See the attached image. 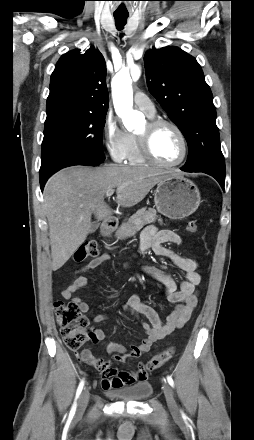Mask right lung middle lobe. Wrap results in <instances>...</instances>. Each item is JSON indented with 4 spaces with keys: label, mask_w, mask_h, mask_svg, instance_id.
Wrapping results in <instances>:
<instances>
[{
    "label": "right lung middle lobe",
    "mask_w": 254,
    "mask_h": 440,
    "mask_svg": "<svg viewBox=\"0 0 254 440\" xmlns=\"http://www.w3.org/2000/svg\"><path fill=\"white\" fill-rule=\"evenodd\" d=\"M105 117L106 113L67 106L47 110L40 179L71 165H99L105 159L102 149Z\"/></svg>",
    "instance_id": "obj_1"
}]
</instances>
